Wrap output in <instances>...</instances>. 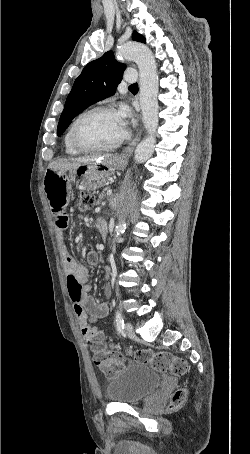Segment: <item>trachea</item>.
I'll list each match as a JSON object with an SVG mask.
<instances>
[{"mask_svg": "<svg viewBox=\"0 0 250 454\" xmlns=\"http://www.w3.org/2000/svg\"><path fill=\"white\" fill-rule=\"evenodd\" d=\"M130 87H138V84L137 83L132 84V85H130Z\"/></svg>", "mask_w": 250, "mask_h": 454, "instance_id": "1", "label": "trachea"}]
</instances>
